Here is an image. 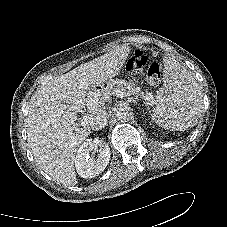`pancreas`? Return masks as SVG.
<instances>
[{
    "instance_id": "pancreas-1",
    "label": "pancreas",
    "mask_w": 227,
    "mask_h": 227,
    "mask_svg": "<svg viewBox=\"0 0 227 227\" xmlns=\"http://www.w3.org/2000/svg\"><path fill=\"white\" fill-rule=\"evenodd\" d=\"M116 91H119L124 94L125 97L129 96H135L138 97L139 95H142V92L139 87H136L134 83L127 82L125 80H114L111 81L108 85V87L104 90L105 93H115ZM95 97H99L100 93L94 92L92 93Z\"/></svg>"
}]
</instances>
